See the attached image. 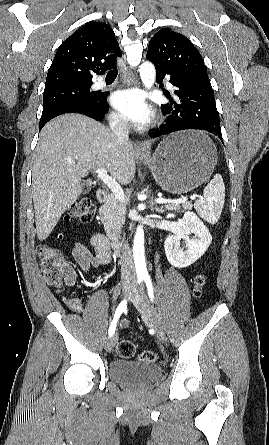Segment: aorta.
<instances>
[{
    "mask_svg": "<svg viewBox=\"0 0 269 445\" xmlns=\"http://www.w3.org/2000/svg\"><path fill=\"white\" fill-rule=\"evenodd\" d=\"M140 78L147 89H151L155 83L156 71L155 67L150 62H143L139 69ZM133 257L135 268L138 276H145L148 274L146 263H145V252H144V231L143 226L139 225L137 227L134 241H133Z\"/></svg>",
    "mask_w": 269,
    "mask_h": 445,
    "instance_id": "obj_1",
    "label": "aorta"
}]
</instances>
